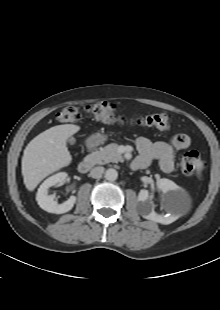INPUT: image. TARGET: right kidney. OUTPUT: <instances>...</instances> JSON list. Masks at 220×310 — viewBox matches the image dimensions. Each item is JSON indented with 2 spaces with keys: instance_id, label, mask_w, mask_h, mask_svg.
Returning <instances> with one entry per match:
<instances>
[{
  "instance_id": "ca27d5eb",
  "label": "right kidney",
  "mask_w": 220,
  "mask_h": 310,
  "mask_svg": "<svg viewBox=\"0 0 220 310\" xmlns=\"http://www.w3.org/2000/svg\"><path fill=\"white\" fill-rule=\"evenodd\" d=\"M67 178V173L59 172L53 176L47 178L39 187L36 200L38 205L45 211L49 213L55 214H63L70 211L75 202L76 197L71 196L67 201L62 204H58L57 201L54 200L53 195H48V189L54 185H62Z\"/></svg>"
}]
</instances>
